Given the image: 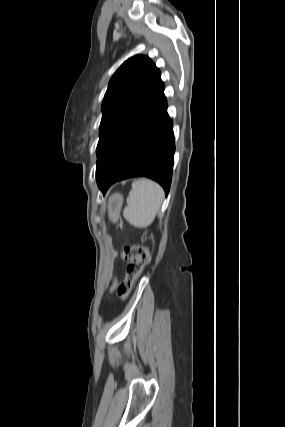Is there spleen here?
I'll return each mask as SVG.
<instances>
[{
    "instance_id": "1",
    "label": "spleen",
    "mask_w": 285,
    "mask_h": 427,
    "mask_svg": "<svg viewBox=\"0 0 285 427\" xmlns=\"http://www.w3.org/2000/svg\"><path fill=\"white\" fill-rule=\"evenodd\" d=\"M164 198L163 189L149 179H139L132 184L123 216L133 226L148 227L155 219Z\"/></svg>"
}]
</instances>
